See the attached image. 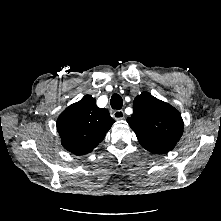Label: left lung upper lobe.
Returning <instances> with one entry per match:
<instances>
[{
	"instance_id": "1",
	"label": "left lung upper lobe",
	"mask_w": 221,
	"mask_h": 221,
	"mask_svg": "<svg viewBox=\"0 0 221 221\" xmlns=\"http://www.w3.org/2000/svg\"><path fill=\"white\" fill-rule=\"evenodd\" d=\"M127 122L142 147L157 154L172 150L183 133V120L178 110L148 92L135 98L134 112Z\"/></svg>"
}]
</instances>
